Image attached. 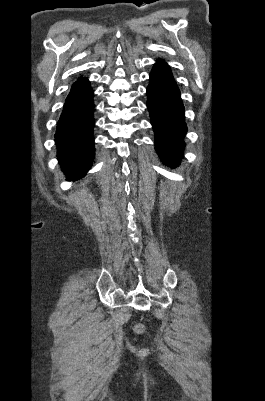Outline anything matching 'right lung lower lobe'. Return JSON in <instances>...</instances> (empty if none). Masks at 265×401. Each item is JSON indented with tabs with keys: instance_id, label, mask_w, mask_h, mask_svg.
<instances>
[{
	"instance_id": "right-lung-lower-lobe-1",
	"label": "right lung lower lobe",
	"mask_w": 265,
	"mask_h": 401,
	"mask_svg": "<svg viewBox=\"0 0 265 401\" xmlns=\"http://www.w3.org/2000/svg\"><path fill=\"white\" fill-rule=\"evenodd\" d=\"M90 83L72 86L54 135L57 158L68 180L83 177L94 158V104Z\"/></svg>"
}]
</instances>
